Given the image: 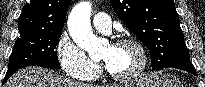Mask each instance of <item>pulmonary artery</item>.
<instances>
[{
  "label": "pulmonary artery",
  "mask_w": 205,
  "mask_h": 87,
  "mask_svg": "<svg viewBox=\"0 0 205 87\" xmlns=\"http://www.w3.org/2000/svg\"><path fill=\"white\" fill-rule=\"evenodd\" d=\"M93 27L100 32H109L111 30V18L105 12H98L92 20Z\"/></svg>",
  "instance_id": "obj_1"
}]
</instances>
